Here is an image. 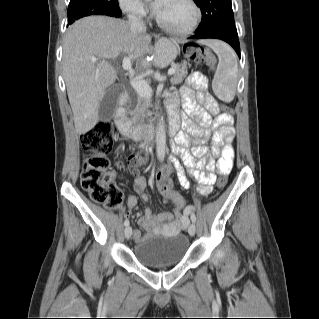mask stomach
<instances>
[{
  "mask_svg": "<svg viewBox=\"0 0 319 319\" xmlns=\"http://www.w3.org/2000/svg\"><path fill=\"white\" fill-rule=\"evenodd\" d=\"M155 50L159 66L168 65L178 54L177 45L168 39H160L155 46Z\"/></svg>",
  "mask_w": 319,
  "mask_h": 319,
  "instance_id": "1",
  "label": "stomach"
}]
</instances>
